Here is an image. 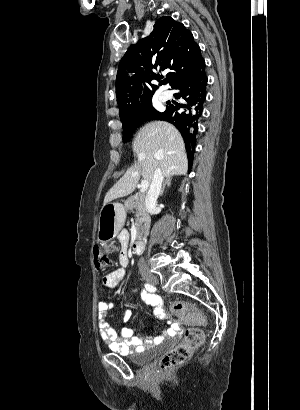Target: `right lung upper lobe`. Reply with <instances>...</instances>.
Masks as SVG:
<instances>
[{
	"label": "right lung upper lobe",
	"instance_id": "obj_1",
	"mask_svg": "<svg viewBox=\"0 0 300 410\" xmlns=\"http://www.w3.org/2000/svg\"><path fill=\"white\" fill-rule=\"evenodd\" d=\"M201 57L200 47L183 24L169 16L158 19L152 33L129 47L119 63L116 97L121 121L136 117L148 105L158 88L151 81H159L162 71H170L166 77L172 87ZM187 153L194 157L191 149Z\"/></svg>",
	"mask_w": 300,
	"mask_h": 410
}]
</instances>
